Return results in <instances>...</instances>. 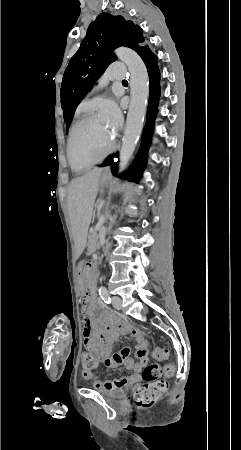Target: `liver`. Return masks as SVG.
<instances>
[{"instance_id":"6515ba94","label":"liver","mask_w":241,"mask_h":450,"mask_svg":"<svg viewBox=\"0 0 241 450\" xmlns=\"http://www.w3.org/2000/svg\"><path fill=\"white\" fill-rule=\"evenodd\" d=\"M102 168H96L82 178L72 180L69 188L68 206L71 220H76L79 226L86 222L88 228L93 212L94 202L99 190Z\"/></svg>"}]
</instances>
